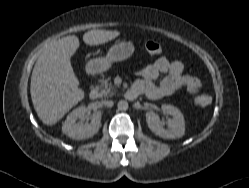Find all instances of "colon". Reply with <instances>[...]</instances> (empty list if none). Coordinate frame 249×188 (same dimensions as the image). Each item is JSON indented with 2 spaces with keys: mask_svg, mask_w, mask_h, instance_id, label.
I'll return each mask as SVG.
<instances>
[{
  "mask_svg": "<svg viewBox=\"0 0 249 188\" xmlns=\"http://www.w3.org/2000/svg\"><path fill=\"white\" fill-rule=\"evenodd\" d=\"M145 49L150 54H158L161 52L162 47L158 42L150 40L145 43ZM210 103L211 98L205 94L199 95L195 99V104L200 108L207 107Z\"/></svg>",
  "mask_w": 249,
  "mask_h": 188,
  "instance_id": "5ec220e1",
  "label": "colon"
}]
</instances>
